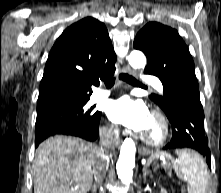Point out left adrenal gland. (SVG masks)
Instances as JSON below:
<instances>
[{
  "label": "left adrenal gland",
  "instance_id": "a2214340",
  "mask_svg": "<svg viewBox=\"0 0 221 193\" xmlns=\"http://www.w3.org/2000/svg\"><path fill=\"white\" fill-rule=\"evenodd\" d=\"M152 176V173L150 172V170H148V168L147 167H144L143 168V179H145L146 178V176Z\"/></svg>",
  "mask_w": 221,
  "mask_h": 193
}]
</instances>
